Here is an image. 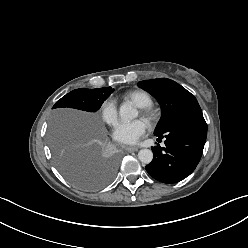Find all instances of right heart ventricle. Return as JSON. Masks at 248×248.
Instances as JSON below:
<instances>
[{
	"mask_svg": "<svg viewBox=\"0 0 248 248\" xmlns=\"http://www.w3.org/2000/svg\"><path fill=\"white\" fill-rule=\"evenodd\" d=\"M127 99L133 101L138 107H148L153 103L151 95L143 90H133L125 94Z\"/></svg>",
	"mask_w": 248,
	"mask_h": 248,
	"instance_id": "1",
	"label": "right heart ventricle"
}]
</instances>
